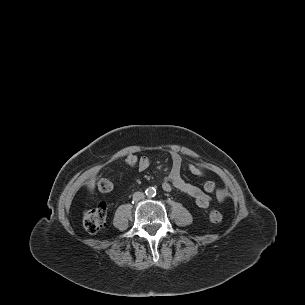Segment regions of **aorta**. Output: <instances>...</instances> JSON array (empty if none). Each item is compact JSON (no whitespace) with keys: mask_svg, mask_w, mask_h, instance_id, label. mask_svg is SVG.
<instances>
[{"mask_svg":"<svg viewBox=\"0 0 305 305\" xmlns=\"http://www.w3.org/2000/svg\"><path fill=\"white\" fill-rule=\"evenodd\" d=\"M156 194V190L153 187H149L146 189L147 196H154Z\"/></svg>","mask_w":305,"mask_h":305,"instance_id":"obj_1","label":"aorta"}]
</instances>
